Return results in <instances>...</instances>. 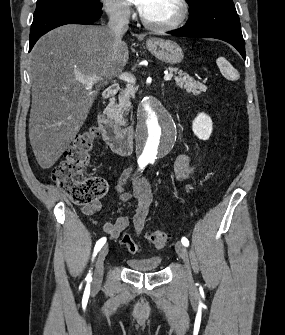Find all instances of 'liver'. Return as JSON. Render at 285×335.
Instances as JSON below:
<instances>
[{"label":"liver","mask_w":285,"mask_h":335,"mask_svg":"<svg viewBox=\"0 0 285 335\" xmlns=\"http://www.w3.org/2000/svg\"><path fill=\"white\" fill-rule=\"evenodd\" d=\"M125 42L108 26L68 24L48 32L30 54L32 104L29 138L43 169L51 168L82 128L101 88L123 72ZM79 76H98L97 86Z\"/></svg>","instance_id":"obj_1"}]
</instances>
